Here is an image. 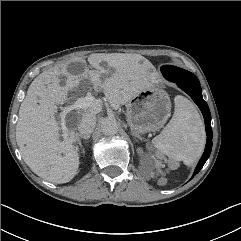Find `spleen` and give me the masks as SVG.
<instances>
[{
  "mask_svg": "<svg viewBox=\"0 0 241 241\" xmlns=\"http://www.w3.org/2000/svg\"><path fill=\"white\" fill-rule=\"evenodd\" d=\"M173 116L152 143L161 153L185 165L194 164L205 146V129L195 105L178 95Z\"/></svg>",
  "mask_w": 241,
  "mask_h": 241,
  "instance_id": "1",
  "label": "spleen"
}]
</instances>
